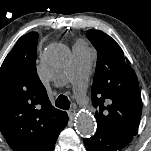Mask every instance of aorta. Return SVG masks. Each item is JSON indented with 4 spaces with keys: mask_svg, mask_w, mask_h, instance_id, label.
Segmentation results:
<instances>
[{
    "mask_svg": "<svg viewBox=\"0 0 151 151\" xmlns=\"http://www.w3.org/2000/svg\"><path fill=\"white\" fill-rule=\"evenodd\" d=\"M44 58L50 67L58 69L69 61L70 53L65 46L53 44L46 49ZM75 126L77 131L83 136L93 134L97 128L94 117L88 113L79 114Z\"/></svg>",
    "mask_w": 151,
    "mask_h": 151,
    "instance_id": "762f6f07",
    "label": "aorta"
}]
</instances>
